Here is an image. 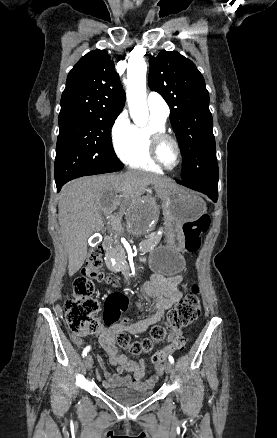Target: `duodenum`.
Returning a JSON list of instances; mask_svg holds the SVG:
<instances>
[{"label": "duodenum", "mask_w": 277, "mask_h": 438, "mask_svg": "<svg viewBox=\"0 0 277 438\" xmlns=\"http://www.w3.org/2000/svg\"><path fill=\"white\" fill-rule=\"evenodd\" d=\"M111 246V241L109 238H105L102 242V248L103 250H109Z\"/></svg>", "instance_id": "1"}]
</instances>
